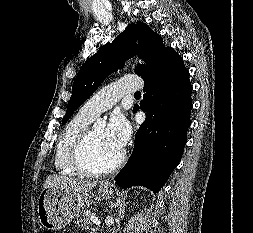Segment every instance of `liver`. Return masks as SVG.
Listing matches in <instances>:
<instances>
[{
    "mask_svg": "<svg viewBox=\"0 0 253 233\" xmlns=\"http://www.w3.org/2000/svg\"><path fill=\"white\" fill-rule=\"evenodd\" d=\"M97 185V182H87L83 180H77L67 176L49 175L43 184V188L58 187L64 188L69 192L75 194H86Z\"/></svg>",
    "mask_w": 253,
    "mask_h": 233,
    "instance_id": "obj_1",
    "label": "liver"
}]
</instances>
